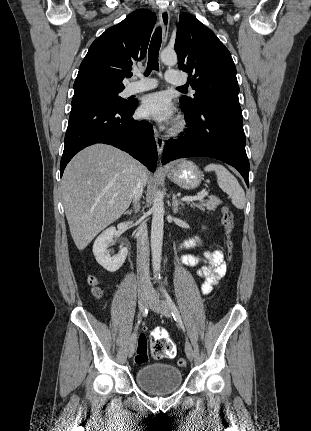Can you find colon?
<instances>
[{
    "instance_id": "5ec220e1",
    "label": "colon",
    "mask_w": 311,
    "mask_h": 431,
    "mask_svg": "<svg viewBox=\"0 0 311 431\" xmlns=\"http://www.w3.org/2000/svg\"><path fill=\"white\" fill-rule=\"evenodd\" d=\"M222 216V225L224 227L226 236H227V250L229 258L232 259L233 252H234V243L231 239V233L234 228V221L233 216L228 207H223L221 210ZM89 284L92 287V292L96 297L101 296V289L98 287V282L95 277L89 278ZM148 341L145 335H140L138 338L137 343V352L135 356V362L137 364H144L148 361L149 355H148ZM150 349L152 352V355L157 359H164V358H172L175 355L176 348L174 343L168 339L165 336H156L152 339ZM179 366H185L186 361L185 359L181 358L178 360Z\"/></svg>"
}]
</instances>
